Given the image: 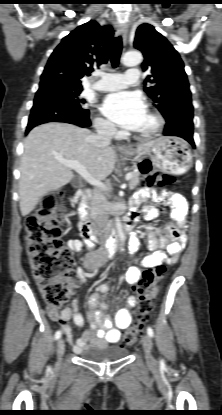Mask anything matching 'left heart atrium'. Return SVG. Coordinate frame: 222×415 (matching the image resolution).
I'll use <instances>...</instances> for the list:
<instances>
[{"instance_id":"left-heart-atrium-1","label":"left heart atrium","mask_w":222,"mask_h":415,"mask_svg":"<svg viewBox=\"0 0 222 415\" xmlns=\"http://www.w3.org/2000/svg\"><path fill=\"white\" fill-rule=\"evenodd\" d=\"M102 113L115 124L134 129L146 112L138 92L121 91L108 95L101 106Z\"/></svg>"}]
</instances>
